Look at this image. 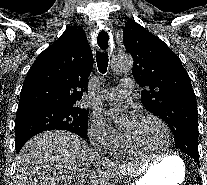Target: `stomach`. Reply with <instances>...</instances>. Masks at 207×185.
Here are the masks:
<instances>
[{
	"instance_id": "obj_1",
	"label": "stomach",
	"mask_w": 207,
	"mask_h": 185,
	"mask_svg": "<svg viewBox=\"0 0 207 185\" xmlns=\"http://www.w3.org/2000/svg\"><path fill=\"white\" fill-rule=\"evenodd\" d=\"M185 179V164L178 156H169L153 164L139 178L137 185H181Z\"/></svg>"
}]
</instances>
